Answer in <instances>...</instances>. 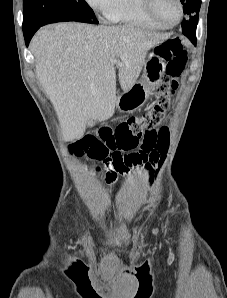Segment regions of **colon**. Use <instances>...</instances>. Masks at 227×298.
Returning a JSON list of instances; mask_svg holds the SVG:
<instances>
[{"label":"colon","instance_id":"1","mask_svg":"<svg viewBox=\"0 0 227 298\" xmlns=\"http://www.w3.org/2000/svg\"><path fill=\"white\" fill-rule=\"evenodd\" d=\"M155 52L166 62V76L156 90V98L146 113L130 117L116 127L103 126L98 130L96 139H105L110 150L132 151L139 147L151 157L161 158L169 146L167 129L156 130V127L162 122L177 88V79L187 62V51L179 38H172L157 46ZM152 178H157V173H152Z\"/></svg>","mask_w":227,"mask_h":298}]
</instances>
